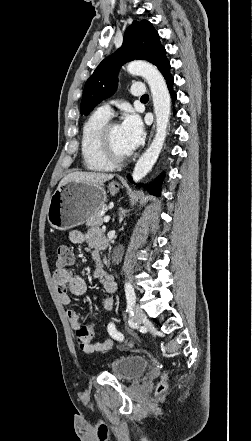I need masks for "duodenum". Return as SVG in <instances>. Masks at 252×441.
<instances>
[{
    "instance_id": "obj_1",
    "label": "duodenum",
    "mask_w": 252,
    "mask_h": 441,
    "mask_svg": "<svg viewBox=\"0 0 252 441\" xmlns=\"http://www.w3.org/2000/svg\"><path fill=\"white\" fill-rule=\"evenodd\" d=\"M106 245H107V240L104 238L102 240V247H101V249H104L106 247Z\"/></svg>"
}]
</instances>
